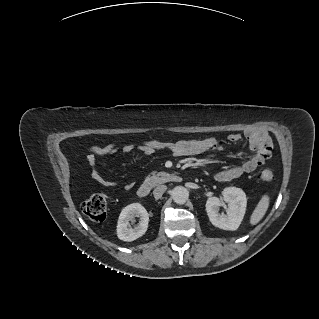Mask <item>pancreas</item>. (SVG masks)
<instances>
[{
	"label": "pancreas",
	"mask_w": 319,
	"mask_h": 319,
	"mask_svg": "<svg viewBox=\"0 0 319 319\" xmlns=\"http://www.w3.org/2000/svg\"><path fill=\"white\" fill-rule=\"evenodd\" d=\"M164 175V173L162 172H156V171H153L151 173V176H150V180L155 183V184H161L162 183V176Z\"/></svg>",
	"instance_id": "pancreas-1"
}]
</instances>
